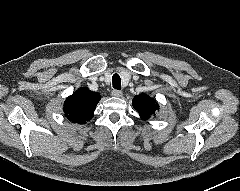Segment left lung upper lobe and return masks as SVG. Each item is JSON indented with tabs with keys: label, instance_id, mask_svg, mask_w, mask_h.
I'll list each match as a JSON object with an SVG mask.
<instances>
[{
	"label": "left lung upper lobe",
	"instance_id": "left-lung-upper-lobe-1",
	"mask_svg": "<svg viewBox=\"0 0 240 191\" xmlns=\"http://www.w3.org/2000/svg\"><path fill=\"white\" fill-rule=\"evenodd\" d=\"M133 107L138 111L140 117L144 120L155 115L158 105L156 101L146 94L142 93L133 98Z\"/></svg>",
	"mask_w": 240,
	"mask_h": 191
}]
</instances>
